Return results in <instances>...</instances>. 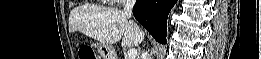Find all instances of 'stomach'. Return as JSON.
<instances>
[{
  "label": "stomach",
  "mask_w": 261,
  "mask_h": 59,
  "mask_svg": "<svg viewBox=\"0 0 261 59\" xmlns=\"http://www.w3.org/2000/svg\"><path fill=\"white\" fill-rule=\"evenodd\" d=\"M110 50L111 49L109 46L101 43L97 51L99 55L102 57V59H115Z\"/></svg>",
  "instance_id": "stomach-1"
}]
</instances>
